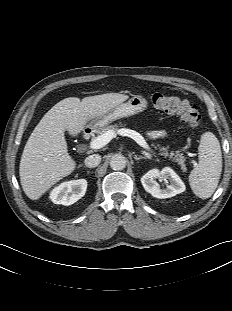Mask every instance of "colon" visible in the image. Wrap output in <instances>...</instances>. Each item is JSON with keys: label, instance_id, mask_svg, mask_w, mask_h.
Instances as JSON below:
<instances>
[{"label": "colon", "instance_id": "obj_1", "mask_svg": "<svg viewBox=\"0 0 232 311\" xmlns=\"http://www.w3.org/2000/svg\"><path fill=\"white\" fill-rule=\"evenodd\" d=\"M151 101L157 109L169 114H177L183 122L190 126H197L200 122L201 116L197 105L188 100L155 93Z\"/></svg>", "mask_w": 232, "mask_h": 311}]
</instances>
